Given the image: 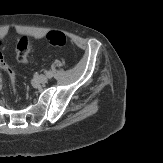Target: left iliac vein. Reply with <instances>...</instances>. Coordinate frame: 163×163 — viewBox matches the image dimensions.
Segmentation results:
<instances>
[{"label": "left iliac vein", "mask_w": 163, "mask_h": 163, "mask_svg": "<svg viewBox=\"0 0 163 163\" xmlns=\"http://www.w3.org/2000/svg\"><path fill=\"white\" fill-rule=\"evenodd\" d=\"M37 80H38L39 83L45 84V83H47L48 78L45 75H39L38 78H37Z\"/></svg>", "instance_id": "left-iliac-vein-1"}]
</instances>
